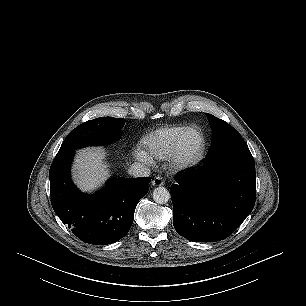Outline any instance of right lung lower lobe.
<instances>
[{"label": "right lung lower lobe", "instance_id": "98d812e1", "mask_svg": "<svg viewBox=\"0 0 306 306\" xmlns=\"http://www.w3.org/2000/svg\"><path fill=\"white\" fill-rule=\"evenodd\" d=\"M74 151L55 158L49 171L51 203L60 220L88 244L107 245L124 237L139 200L148 192L151 178H115L94 195L80 192L72 183Z\"/></svg>", "mask_w": 306, "mask_h": 306}]
</instances>
